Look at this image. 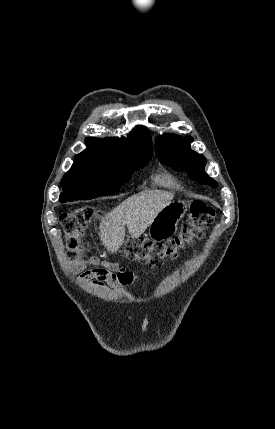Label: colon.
Here are the masks:
<instances>
[{
	"label": "colon",
	"mask_w": 275,
	"mask_h": 429,
	"mask_svg": "<svg viewBox=\"0 0 275 429\" xmlns=\"http://www.w3.org/2000/svg\"><path fill=\"white\" fill-rule=\"evenodd\" d=\"M100 213L92 207H80L63 213L60 217L67 244L68 258L76 265L85 261L96 262L95 258H87L82 250L81 237L84 229L98 222ZM215 210L199 201L193 202L189 209V218L182 230L174 238L156 243L144 239L129 238L124 247L125 256L141 264L153 268L160 267L164 260L175 259L178 254L194 246L202 238L204 231L214 221ZM107 270L114 272L117 277H123L121 269L106 263Z\"/></svg>",
	"instance_id": "5ec220e1"
}]
</instances>
